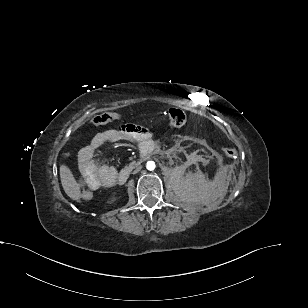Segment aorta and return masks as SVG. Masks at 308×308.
Here are the masks:
<instances>
[{"instance_id": "1", "label": "aorta", "mask_w": 308, "mask_h": 308, "mask_svg": "<svg viewBox=\"0 0 308 308\" xmlns=\"http://www.w3.org/2000/svg\"><path fill=\"white\" fill-rule=\"evenodd\" d=\"M147 169L148 170H154L155 169V163L153 161L147 162Z\"/></svg>"}]
</instances>
